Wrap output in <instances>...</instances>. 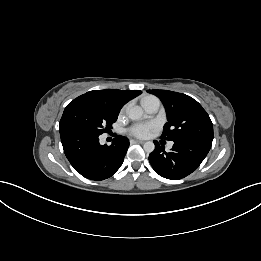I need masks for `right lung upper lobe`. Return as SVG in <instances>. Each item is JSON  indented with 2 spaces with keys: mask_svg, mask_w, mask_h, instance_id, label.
Returning <instances> with one entry per match:
<instances>
[{
  "mask_svg": "<svg viewBox=\"0 0 261 261\" xmlns=\"http://www.w3.org/2000/svg\"><path fill=\"white\" fill-rule=\"evenodd\" d=\"M139 94L140 90L105 89L89 91L83 95L98 98L112 109L120 111L125 103Z\"/></svg>",
  "mask_w": 261,
  "mask_h": 261,
  "instance_id": "right-lung-upper-lobe-1",
  "label": "right lung upper lobe"
}]
</instances>
